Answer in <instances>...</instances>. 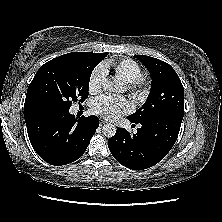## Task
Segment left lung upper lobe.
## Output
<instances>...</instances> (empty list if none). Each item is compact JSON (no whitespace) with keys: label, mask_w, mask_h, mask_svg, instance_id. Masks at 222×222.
<instances>
[{"label":"left lung upper lobe","mask_w":222,"mask_h":222,"mask_svg":"<svg viewBox=\"0 0 222 222\" xmlns=\"http://www.w3.org/2000/svg\"><path fill=\"white\" fill-rule=\"evenodd\" d=\"M135 57L149 70L152 83L146 102L127 118L138 123L164 113L184 116V88L175 70L166 62L153 57Z\"/></svg>","instance_id":"1"}]
</instances>
